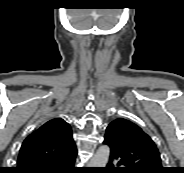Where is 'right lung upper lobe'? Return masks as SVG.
<instances>
[{
    "label": "right lung upper lobe",
    "mask_w": 184,
    "mask_h": 173,
    "mask_svg": "<svg viewBox=\"0 0 184 173\" xmlns=\"http://www.w3.org/2000/svg\"><path fill=\"white\" fill-rule=\"evenodd\" d=\"M77 152L70 125L52 119L30 134L20 149L16 172L49 165Z\"/></svg>",
    "instance_id": "cb5924a9"
}]
</instances>
